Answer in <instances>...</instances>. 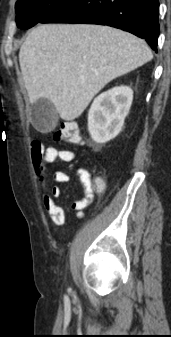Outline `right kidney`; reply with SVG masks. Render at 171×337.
<instances>
[{"instance_id":"1","label":"right kidney","mask_w":171,"mask_h":337,"mask_svg":"<svg viewBox=\"0 0 171 337\" xmlns=\"http://www.w3.org/2000/svg\"><path fill=\"white\" fill-rule=\"evenodd\" d=\"M133 100L128 86L114 87L97 96L89 110L88 131L96 143H106L122 129Z\"/></svg>"}]
</instances>
